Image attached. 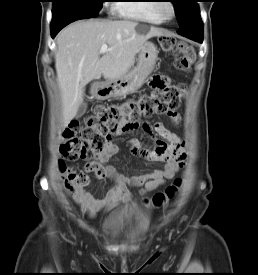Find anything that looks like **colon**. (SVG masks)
I'll list each match as a JSON object with an SVG mask.
<instances>
[{
    "label": "colon",
    "instance_id": "1",
    "mask_svg": "<svg viewBox=\"0 0 258 275\" xmlns=\"http://www.w3.org/2000/svg\"><path fill=\"white\" fill-rule=\"evenodd\" d=\"M159 43L164 52L175 54L174 65L177 69L190 70L195 54L186 42L171 35H162ZM150 85L152 90L137 98L119 105L97 107L93 115L84 119L81 128L79 122H72L62 134L60 151L63 159L67 161L85 159L91 153L102 151L113 136L137 129L141 118L175 111L185 93L184 86H168L159 77L152 78ZM60 167L64 186L69 195L75 196L88 184V177L84 172L67 167L64 161L60 163ZM181 184V178H176L163 191L152 197V204L161 207L172 200Z\"/></svg>",
    "mask_w": 258,
    "mask_h": 275
}]
</instances>
